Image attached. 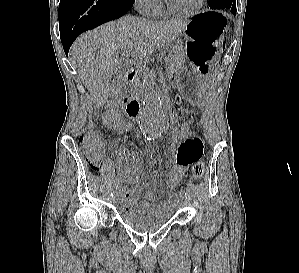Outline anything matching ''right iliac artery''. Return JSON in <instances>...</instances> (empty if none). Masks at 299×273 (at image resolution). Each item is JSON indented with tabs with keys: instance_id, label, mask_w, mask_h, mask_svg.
Segmentation results:
<instances>
[{
	"instance_id": "obj_1",
	"label": "right iliac artery",
	"mask_w": 299,
	"mask_h": 273,
	"mask_svg": "<svg viewBox=\"0 0 299 273\" xmlns=\"http://www.w3.org/2000/svg\"><path fill=\"white\" fill-rule=\"evenodd\" d=\"M111 195H112V197L114 196V191H113V193H111Z\"/></svg>"
}]
</instances>
